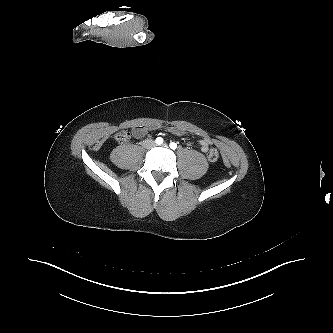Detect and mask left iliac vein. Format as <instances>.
I'll return each instance as SVG.
<instances>
[{
  "mask_svg": "<svg viewBox=\"0 0 333 333\" xmlns=\"http://www.w3.org/2000/svg\"><path fill=\"white\" fill-rule=\"evenodd\" d=\"M162 146H163V147H167V144H163Z\"/></svg>",
  "mask_w": 333,
  "mask_h": 333,
  "instance_id": "obj_1",
  "label": "left iliac vein"
}]
</instances>
